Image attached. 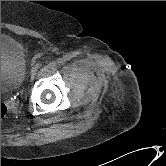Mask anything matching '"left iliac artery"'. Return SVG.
I'll return each instance as SVG.
<instances>
[{
  "label": "left iliac artery",
  "mask_w": 166,
  "mask_h": 166,
  "mask_svg": "<svg viewBox=\"0 0 166 166\" xmlns=\"http://www.w3.org/2000/svg\"><path fill=\"white\" fill-rule=\"evenodd\" d=\"M41 66H42L41 63H37V64H36V67H37V68H40Z\"/></svg>",
  "instance_id": "left-iliac-artery-1"
}]
</instances>
